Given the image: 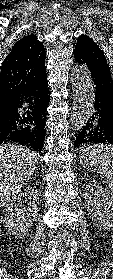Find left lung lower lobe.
Returning <instances> with one entry per match:
<instances>
[{
    "label": "left lung lower lobe",
    "instance_id": "0a47b994",
    "mask_svg": "<svg viewBox=\"0 0 113 279\" xmlns=\"http://www.w3.org/2000/svg\"><path fill=\"white\" fill-rule=\"evenodd\" d=\"M79 64H85L75 58ZM91 72L95 88L92 115L74 141L75 148L86 144H113V80L98 68L85 64Z\"/></svg>",
    "mask_w": 113,
    "mask_h": 279
}]
</instances>
